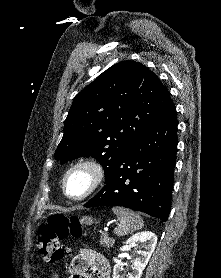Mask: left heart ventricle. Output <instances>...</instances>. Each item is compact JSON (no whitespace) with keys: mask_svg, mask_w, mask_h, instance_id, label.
<instances>
[{"mask_svg":"<svg viewBox=\"0 0 221 278\" xmlns=\"http://www.w3.org/2000/svg\"><path fill=\"white\" fill-rule=\"evenodd\" d=\"M89 173L86 170L80 169L73 172L67 182V192L71 196H78L82 194L89 184Z\"/></svg>","mask_w":221,"mask_h":278,"instance_id":"b2bd125f","label":"left heart ventricle"}]
</instances>
